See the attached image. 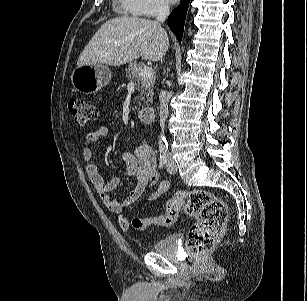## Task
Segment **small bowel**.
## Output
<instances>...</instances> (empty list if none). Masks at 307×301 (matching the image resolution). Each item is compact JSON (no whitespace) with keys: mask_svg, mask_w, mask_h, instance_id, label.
<instances>
[{"mask_svg":"<svg viewBox=\"0 0 307 301\" xmlns=\"http://www.w3.org/2000/svg\"><path fill=\"white\" fill-rule=\"evenodd\" d=\"M109 134L110 128L106 125L99 127L95 131L88 132L83 141L82 157L88 163L86 174L90 183L100 194L107 209L117 215L120 229L128 231L130 222L125 215V210L143 195L147 186L157 185V189L146 198V201L151 203L168 192L169 184L166 181H160L155 153L149 144L142 142L134 151H126L122 155V160L126 166V175H134L137 178L135 187L122 202L113 199L111 192L120 184L121 179L114 177L104 181L98 168L92 163L94 145L100 138H104Z\"/></svg>","mask_w":307,"mask_h":301,"instance_id":"1","label":"small bowel"}]
</instances>
